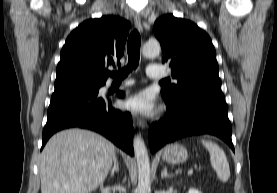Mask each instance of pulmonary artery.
<instances>
[{"instance_id":"obj_1","label":"pulmonary artery","mask_w":277,"mask_h":193,"mask_svg":"<svg viewBox=\"0 0 277 193\" xmlns=\"http://www.w3.org/2000/svg\"><path fill=\"white\" fill-rule=\"evenodd\" d=\"M147 75L152 79H159L167 76V73L156 65H150L147 67ZM131 82H126L125 85H129Z\"/></svg>"}]
</instances>
